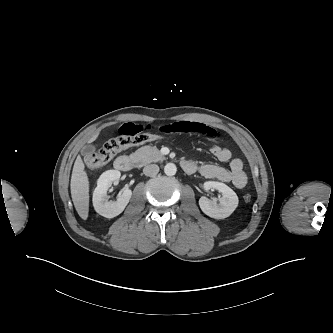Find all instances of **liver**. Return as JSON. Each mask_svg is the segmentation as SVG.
<instances>
[{"instance_id": "obj_1", "label": "liver", "mask_w": 333, "mask_h": 333, "mask_svg": "<svg viewBox=\"0 0 333 333\" xmlns=\"http://www.w3.org/2000/svg\"><path fill=\"white\" fill-rule=\"evenodd\" d=\"M98 135L99 133H96L90 142L95 141ZM70 188L75 209L79 216L86 220L89 215V180L80 156L76 158L73 166Z\"/></svg>"}]
</instances>
